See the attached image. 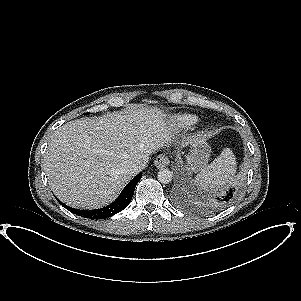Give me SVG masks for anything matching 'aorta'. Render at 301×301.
I'll use <instances>...</instances> for the list:
<instances>
[{
	"label": "aorta",
	"instance_id": "762f6f07",
	"mask_svg": "<svg viewBox=\"0 0 301 301\" xmlns=\"http://www.w3.org/2000/svg\"><path fill=\"white\" fill-rule=\"evenodd\" d=\"M172 172L168 169H160L157 174V179L162 184H168L172 181Z\"/></svg>",
	"mask_w": 301,
	"mask_h": 301
}]
</instances>
